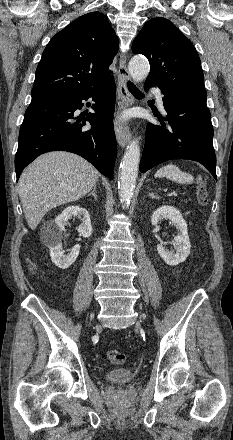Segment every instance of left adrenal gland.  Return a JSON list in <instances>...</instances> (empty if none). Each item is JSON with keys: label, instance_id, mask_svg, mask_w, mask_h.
Listing matches in <instances>:
<instances>
[{"label": "left adrenal gland", "instance_id": "left-adrenal-gland-1", "mask_svg": "<svg viewBox=\"0 0 233 440\" xmlns=\"http://www.w3.org/2000/svg\"><path fill=\"white\" fill-rule=\"evenodd\" d=\"M148 196H149L150 198H152V199H157V200L160 199V197H159L158 195L154 194L153 192H152V193H149Z\"/></svg>", "mask_w": 233, "mask_h": 440}]
</instances>
